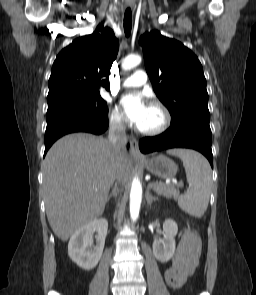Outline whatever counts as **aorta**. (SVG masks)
<instances>
[{
  "label": "aorta",
  "mask_w": 256,
  "mask_h": 295,
  "mask_svg": "<svg viewBox=\"0 0 256 295\" xmlns=\"http://www.w3.org/2000/svg\"><path fill=\"white\" fill-rule=\"evenodd\" d=\"M141 63L139 55H129L122 61V68L130 70ZM142 200V186L138 177H134L130 190V216L132 221H136L139 216Z\"/></svg>",
  "instance_id": "762f6f07"
}]
</instances>
